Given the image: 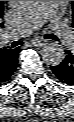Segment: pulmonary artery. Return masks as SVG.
Wrapping results in <instances>:
<instances>
[{
    "label": "pulmonary artery",
    "mask_w": 74,
    "mask_h": 122,
    "mask_svg": "<svg viewBox=\"0 0 74 122\" xmlns=\"http://www.w3.org/2000/svg\"><path fill=\"white\" fill-rule=\"evenodd\" d=\"M58 1H38L36 6L13 24L7 31L8 39L24 37L40 27L44 22L51 23L55 35L64 46L73 44V36L59 21L56 9Z\"/></svg>",
    "instance_id": "pulmonary-artery-1"
}]
</instances>
